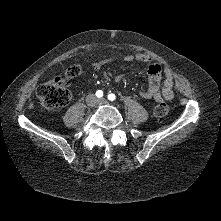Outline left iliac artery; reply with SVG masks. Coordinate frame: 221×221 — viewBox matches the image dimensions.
Returning a JSON list of instances; mask_svg holds the SVG:
<instances>
[{
  "label": "left iliac artery",
  "mask_w": 221,
  "mask_h": 221,
  "mask_svg": "<svg viewBox=\"0 0 221 221\" xmlns=\"http://www.w3.org/2000/svg\"><path fill=\"white\" fill-rule=\"evenodd\" d=\"M108 99H109L110 101H114V100L116 99V96L111 93V94L108 95Z\"/></svg>",
  "instance_id": "left-iliac-artery-1"
}]
</instances>
